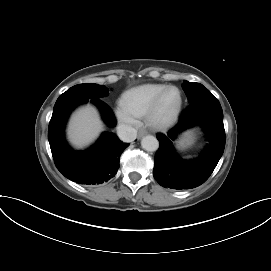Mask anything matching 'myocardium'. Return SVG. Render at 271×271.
<instances>
[{"instance_id": "f54148a6", "label": "myocardium", "mask_w": 271, "mask_h": 271, "mask_svg": "<svg viewBox=\"0 0 271 271\" xmlns=\"http://www.w3.org/2000/svg\"><path fill=\"white\" fill-rule=\"evenodd\" d=\"M170 90H175L178 93V104L173 110V112L166 116V117H161L159 112H160V107L161 103L163 101L164 96L166 93ZM183 106V95L181 90L173 85L166 86L153 100L147 114H146V119L150 126L157 130H165L171 127L178 119L181 109Z\"/></svg>"}]
</instances>
